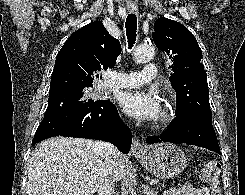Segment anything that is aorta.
<instances>
[{
    "label": "aorta",
    "mask_w": 245,
    "mask_h": 195,
    "mask_svg": "<svg viewBox=\"0 0 245 195\" xmlns=\"http://www.w3.org/2000/svg\"><path fill=\"white\" fill-rule=\"evenodd\" d=\"M155 49L151 45H139L133 53L134 60L137 63H147L153 59Z\"/></svg>",
    "instance_id": "aorta-1"
}]
</instances>
